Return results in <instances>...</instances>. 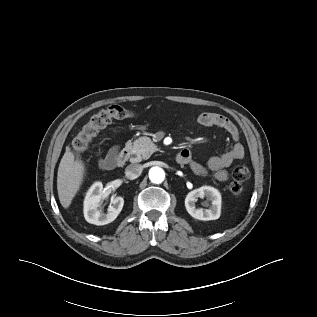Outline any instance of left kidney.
I'll return each mask as SVG.
<instances>
[{"label":"left kidney","mask_w":317,"mask_h":317,"mask_svg":"<svg viewBox=\"0 0 317 317\" xmlns=\"http://www.w3.org/2000/svg\"><path fill=\"white\" fill-rule=\"evenodd\" d=\"M206 197L211 205L208 209H198L195 202L198 198ZM185 207L187 212L195 219L209 221L216 220L221 213V194L217 189L211 186H202L189 192L185 198Z\"/></svg>","instance_id":"1"}]
</instances>
